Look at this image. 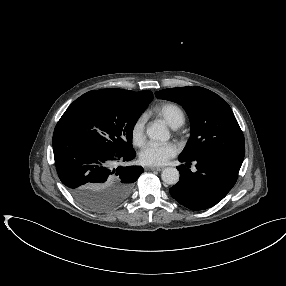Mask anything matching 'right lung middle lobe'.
I'll return each instance as SVG.
<instances>
[{
  "mask_svg": "<svg viewBox=\"0 0 286 286\" xmlns=\"http://www.w3.org/2000/svg\"><path fill=\"white\" fill-rule=\"evenodd\" d=\"M150 101L129 99L106 89L89 91L65 111L60 123L110 153L133 150V128ZM94 210L101 208L90 206Z\"/></svg>",
  "mask_w": 286,
  "mask_h": 286,
  "instance_id": "dd1d6c3e",
  "label": "right lung middle lobe"
}]
</instances>
